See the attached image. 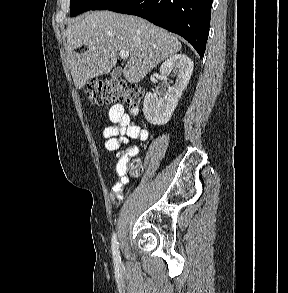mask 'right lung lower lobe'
I'll list each match as a JSON object with an SVG mask.
<instances>
[{
    "label": "right lung lower lobe",
    "instance_id": "right-lung-lower-lobe-1",
    "mask_svg": "<svg viewBox=\"0 0 288 293\" xmlns=\"http://www.w3.org/2000/svg\"><path fill=\"white\" fill-rule=\"evenodd\" d=\"M213 0H121L108 10L140 16L185 38L204 55Z\"/></svg>",
    "mask_w": 288,
    "mask_h": 293
}]
</instances>
